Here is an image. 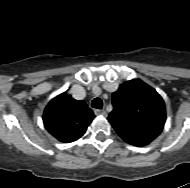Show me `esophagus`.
I'll list each match as a JSON object with an SVG mask.
<instances>
[{
    "instance_id": "esophagus-1",
    "label": "esophagus",
    "mask_w": 190,
    "mask_h": 188,
    "mask_svg": "<svg viewBox=\"0 0 190 188\" xmlns=\"http://www.w3.org/2000/svg\"><path fill=\"white\" fill-rule=\"evenodd\" d=\"M94 113H95V115H97V116H104V115H106V111L103 110V109H95V110H94Z\"/></svg>"
}]
</instances>
